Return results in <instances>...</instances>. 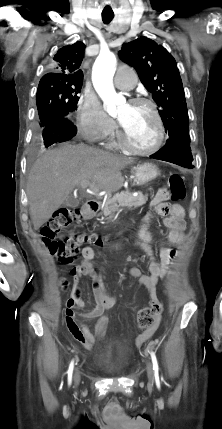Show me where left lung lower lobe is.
Here are the masks:
<instances>
[{"instance_id": "left-lung-lower-lobe-1", "label": "left lung lower lobe", "mask_w": 222, "mask_h": 429, "mask_svg": "<svg viewBox=\"0 0 222 429\" xmlns=\"http://www.w3.org/2000/svg\"><path fill=\"white\" fill-rule=\"evenodd\" d=\"M152 158L177 164L179 166L192 169L193 156L191 153L190 142L185 139H175L167 142L166 145L155 154Z\"/></svg>"}]
</instances>
